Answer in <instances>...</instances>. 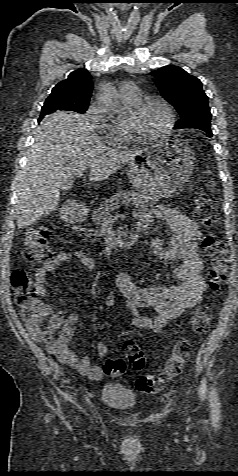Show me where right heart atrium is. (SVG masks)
I'll return each mask as SVG.
<instances>
[{
	"instance_id": "d8ad5b80",
	"label": "right heart atrium",
	"mask_w": 238,
	"mask_h": 476,
	"mask_svg": "<svg viewBox=\"0 0 238 476\" xmlns=\"http://www.w3.org/2000/svg\"><path fill=\"white\" fill-rule=\"evenodd\" d=\"M86 115L92 126L102 136L110 140H117L122 137L123 131L107 122L97 104L90 105L86 111Z\"/></svg>"
}]
</instances>
